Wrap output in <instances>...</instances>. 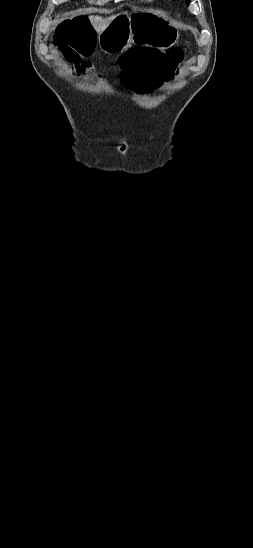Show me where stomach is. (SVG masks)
I'll return each instance as SVG.
<instances>
[{
	"label": "stomach",
	"instance_id": "1",
	"mask_svg": "<svg viewBox=\"0 0 253 548\" xmlns=\"http://www.w3.org/2000/svg\"><path fill=\"white\" fill-rule=\"evenodd\" d=\"M178 37V31L160 17L146 12L121 13L98 34V43L104 53L116 54L127 49L131 43L171 46Z\"/></svg>",
	"mask_w": 253,
	"mask_h": 548
}]
</instances>
